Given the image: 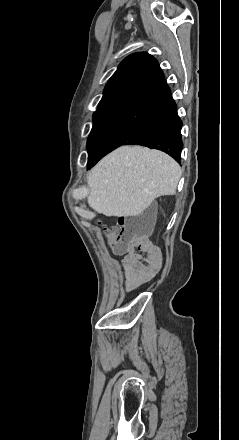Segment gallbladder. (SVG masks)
<instances>
[{"mask_svg": "<svg viewBox=\"0 0 239 440\" xmlns=\"http://www.w3.org/2000/svg\"><path fill=\"white\" fill-rule=\"evenodd\" d=\"M149 212H150V210H148V214H147V218H146V226H149V218H148Z\"/></svg>", "mask_w": 239, "mask_h": 440, "instance_id": "gallbladder-1", "label": "gallbladder"}]
</instances>
